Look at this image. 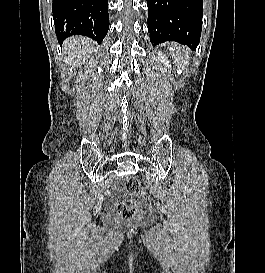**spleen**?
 I'll return each instance as SVG.
<instances>
[{"label":"spleen","instance_id":"spleen-1","mask_svg":"<svg viewBox=\"0 0 265 273\" xmlns=\"http://www.w3.org/2000/svg\"><path fill=\"white\" fill-rule=\"evenodd\" d=\"M170 53L177 67L184 68V66L188 63L189 54L187 50L183 49L181 46H174L170 49Z\"/></svg>","mask_w":265,"mask_h":273}]
</instances>
